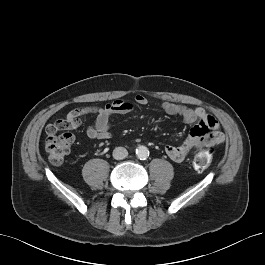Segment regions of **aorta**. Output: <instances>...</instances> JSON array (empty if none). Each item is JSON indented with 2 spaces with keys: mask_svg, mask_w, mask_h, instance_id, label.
<instances>
[{
  "mask_svg": "<svg viewBox=\"0 0 265 265\" xmlns=\"http://www.w3.org/2000/svg\"><path fill=\"white\" fill-rule=\"evenodd\" d=\"M136 155L140 160H145L149 156V150L146 146L141 145L136 149Z\"/></svg>",
  "mask_w": 265,
  "mask_h": 265,
  "instance_id": "1",
  "label": "aorta"
}]
</instances>
